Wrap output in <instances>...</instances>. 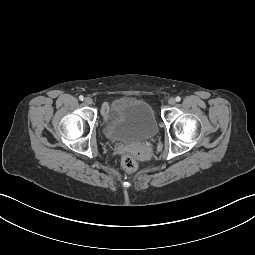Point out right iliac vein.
Here are the masks:
<instances>
[{
	"label": "right iliac vein",
	"instance_id": "right-iliac-vein-1",
	"mask_svg": "<svg viewBox=\"0 0 255 255\" xmlns=\"http://www.w3.org/2000/svg\"><path fill=\"white\" fill-rule=\"evenodd\" d=\"M84 102H85V104H87V105H91V104L93 103V100H92V98H90V97H86V98L84 99Z\"/></svg>",
	"mask_w": 255,
	"mask_h": 255
}]
</instances>
